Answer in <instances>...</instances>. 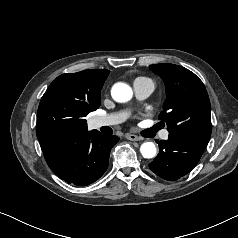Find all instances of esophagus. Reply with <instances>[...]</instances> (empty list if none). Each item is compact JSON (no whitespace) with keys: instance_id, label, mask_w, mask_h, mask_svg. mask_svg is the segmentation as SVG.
<instances>
[{"instance_id":"obj_1","label":"esophagus","mask_w":238,"mask_h":238,"mask_svg":"<svg viewBox=\"0 0 238 238\" xmlns=\"http://www.w3.org/2000/svg\"><path fill=\"white\" fill-rule=\"evenodd\" d=\"M126 139L131 140V141H140L141 138L134 135V134H126L125 136Z\"/></svg>"}]
</instances>
